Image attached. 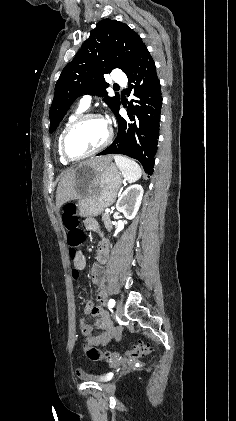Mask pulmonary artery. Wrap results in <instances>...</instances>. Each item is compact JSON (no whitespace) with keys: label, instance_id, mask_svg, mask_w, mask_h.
<instances>
[{"label":"pulmonary artery","instance_id":"obj_1","mask_svg":"<svg viewBox=\"0 0 236 421\" xmlns=\"http://www.w3.org/2000/svg\"><path fill=\"white\" fill-rule=\"evenodd\" d=\"M114 75L115 86H125L127 84V79L124 77L125 72L123 69H116ZM92 102L93 100L90 96H85L80 100L79 106L82 109H88L91 106Z\"/></svg>","mask_w":236,"mask_h":421}]
</instances>
